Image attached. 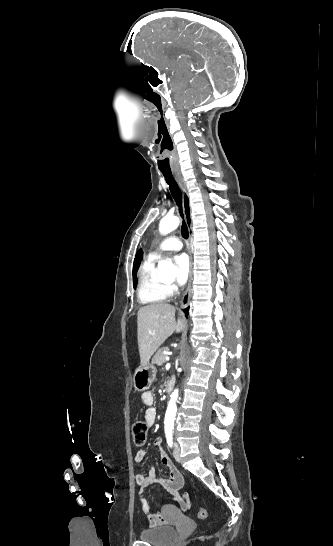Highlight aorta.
Segmentation results:
<instances>
[{"label":"aorta","mask_w":333,"mask_h":546,"mask_svg":"<svg viewBox=\"0 0 333 546\" xmlns=\"http://www.w3.org/2000/svg\"><path fill=\"white\" fill-rule=\"evenodd\" d=\"M180 223V220L176 216H166L164 217L159 224V231L161 234H168L174 231ZM156 274L161 279H175V268L171 261L161 260L158 263ZM179 395V390L176 389L171 395L167 411L165 414V426L168 428H173L174 420L177 412V399Z\"/></svg>","instance_id":"aorta-1"}]
</instances>
